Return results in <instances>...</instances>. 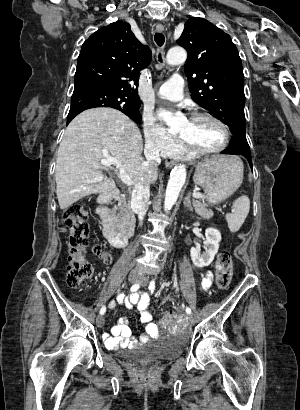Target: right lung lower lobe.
Wrapping results in <instances>:
<instances>
[{
  "label": "right lung lower lobe",
  "instance_id": "obj_1",
  "mask_svg": "<svg viewBox=\"0 0 300 410\" xmlns=\"http://www.w3.org/2000/svg\"><path fill=\"white\" fill-rule=\"evenodd\" d=\"M74 117H75V116H74ZM74 117L67 118V124H68Z\"/></svg>",
  "mask_w": 300,
  "mask_h": 410
}]
</instances>
